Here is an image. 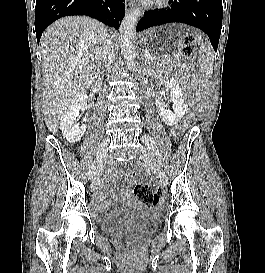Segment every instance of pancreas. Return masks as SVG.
Instances as JSON below:
<instances>
[{
	"instance_id": "obj_1",
	"label": "pancreas",
	"mask_w": 265,
	"mask_h": 273,
	"mask_svg": "<svg viewBox=\"0 0 265 273\" xmlns=\"http://www.w3.org/2000/svg\"><path fill=\"white\" fill-rule=\"evenodd\" d=\"M149 65L153 63H161L162 65H172L176 63V61L170 57H165L164 59H159L157 57H152L150 60L147 61Z\"/></svg>"
}]
</instances>
